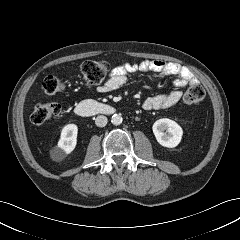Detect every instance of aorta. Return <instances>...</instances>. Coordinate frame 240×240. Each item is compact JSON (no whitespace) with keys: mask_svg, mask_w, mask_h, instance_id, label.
Segmentation results:
<instances>
[{"mask_svg":"<svg viewBox=\"0 0 240 240\" xmlns=\"http://www.w3.org/2000/svg\"><path fill=\"white\" fill-rule=\"evenodd\" d=\"M123 118L120 114H114L111 118V123L115 126H118L122 123Z\"/></svg>","mask_w":240,"mask_h":240,"instance_id":"762f6f07","label":"aorta"}]
</instances>
